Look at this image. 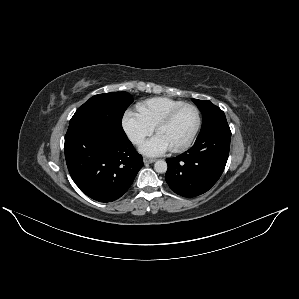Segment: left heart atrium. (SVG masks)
Returning a JSON list of instances; mask_svg holds the SVG:
<instances>
[{
    "instance_id": "obj_1",
    "label": "left heart atrium",
    "mask_w": 299,
    "mask_h": 299,
    "mask_svg": "<svg viewBox=\"0 0 299 299\" xmlns=\"http://www.w3.org/2000/svg\"><path fill=\"white\" fill-rule=\"evenodd\" d=\"M171 149L169 142L160 134H157L140 146V151L150 156L161 155Z\"/></svg>"
}]
</instances>
